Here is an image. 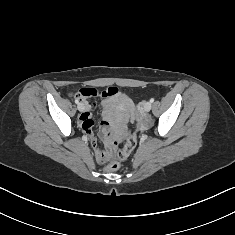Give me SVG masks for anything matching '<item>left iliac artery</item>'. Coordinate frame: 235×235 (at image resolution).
Listing matches in <instances>:
<instances>
[{
	"label": "left iliac artery",
	"mask_w": 235,
	"mask_h": 235,
	"mask_svg": "<svg viewBox=\"0 0 235 235\" xmlns=\"http://www.w3.org/2000/svg\"><path fill=\"white\" fill-rule=\"evenodd\" d=\"M150 102L153 103V102H154V98H151V99H150Z\"/></svg>",
	"instance_id": "left-iliac-artery-1"
}]
</instances>
